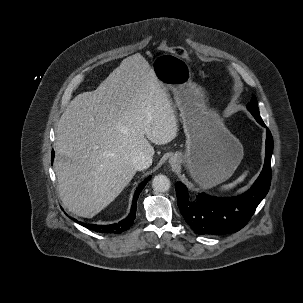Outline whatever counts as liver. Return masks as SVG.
I'll use <instances>...</instances> for the list:
<instances>
[{
    "mask_svg": "<svg viewBox=\"0 0 303 303\" xmlns=\"http://www.w3.org/2000/svg\"><path fill=\"white\" fill-rule=\"evenodd\" d=\"M178 132L174 108L146 59L125 58L91 92L77 95L57 126L55 173L59 196L72 213L92 218L129 184L132 157H151ZM150 142H149V141Z\"/></svg>",
    "mask_w": 303,
    "mask_h": 303,
    "instance_id": "1",
    "label": "liver"
}]
</instances>
